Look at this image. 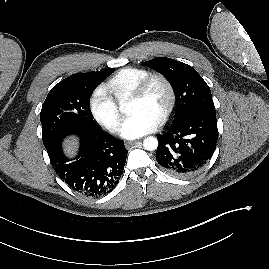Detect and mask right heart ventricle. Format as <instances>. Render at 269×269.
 <instances>
[{
	"label": "right heart ventricle",
	"instance_id": "e07e8e85",
	"mask_svg": "<svg viewBox=\"0 0 269 269\" xmlns=\"http://www.w3.org/2000/svg\"><path fill=\"white\" fill-rule=\"evenodd\" d=\"M149 74L144 68L126 67L116 72L105 87L115 100L121 101L129 98L139 82Z\"/></svg>",
	"mask_w": 269,
	"mask_h": 269
}]
</instances>
